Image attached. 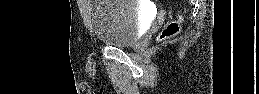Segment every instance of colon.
I'll return each mask as SVG.
<instances>
[{
    "label": "colon",
    "mask_w": 259,
    "mask_h": 94,
    "mask_svg": "<svg viewBox=\"0 0 259 94\" xmlns=\"http://www.w3.org/2000/svg\"><path fill=\"white\" fill-rule=\"evenodd\" d=\"M180 29V18L177 20L171 21L161 32L159 39L165 40L167 38H170L174 35H176L179 32Z\"/></svg>",
    "instance_id": "obj_1"
}]
</instances>
